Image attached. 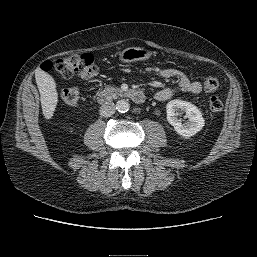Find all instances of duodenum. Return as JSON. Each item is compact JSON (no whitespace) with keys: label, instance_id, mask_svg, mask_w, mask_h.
<instances>
[{"label":"duodenum","instance_id":"obj_1","mask_svg":"<svg viewBox=\"0 0 257 257\" xmlns=\"http://www.w3.org/2000/svg\"><path fill=\"white\" fill-rule=\"evenodd\" d=\"M123 94L136 104H142L145 100L144 93L140 90H127ZM97 100L101 105H106L111 102L112 93L110 91H101Z\"/></svg>","mask_w":257,"mask_h":257}]
</instances>
